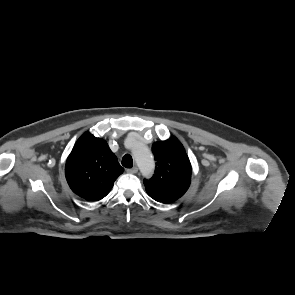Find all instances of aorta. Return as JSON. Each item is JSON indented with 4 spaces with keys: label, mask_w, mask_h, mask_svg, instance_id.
<instances>
[{
    "label": "aorta",
    "mask_w": 295,
    "mask_h": 295,
    "mask_svg": "<svg viewBox=\"0 0 295 295\" xmlns=\"http://www.w3.org/2000/svg\"><path fill=\"white\" fill-rule=\"evenodd\" d=\"M133 158L145 177H149L155 167L154 160L149 148L140 142H135L131 148Z\"/></svg>",
    "instance_id": "aorta-1"
}]
</instances>
